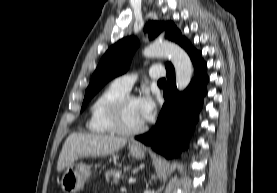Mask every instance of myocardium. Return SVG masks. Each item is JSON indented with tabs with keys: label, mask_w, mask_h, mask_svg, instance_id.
Here are the masks:
<instances>
[{
	"label": "myocardium",
	"mask_w": 277,
	"mask_h": 193,
	"mask_svg": "<svg viewBox=\"0 0 277 193\" xmlns=\"http://www.w3.org/2000/svg\"><path fill=\"white\" fill-rule=\"evenodd\" d=\"M134 99L132 95L124 94L115 99L107 109V119L112 131L119 135L131 136L142 132L146 125L145 123L134 128H128L123 124L122 112L124 104L129 100Z\"/></svg>",
	"instance_id": "myocardium-1"
}]
</instances>
